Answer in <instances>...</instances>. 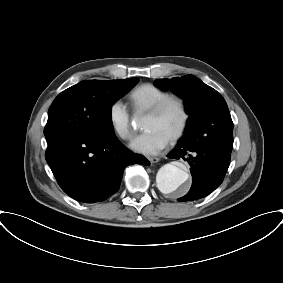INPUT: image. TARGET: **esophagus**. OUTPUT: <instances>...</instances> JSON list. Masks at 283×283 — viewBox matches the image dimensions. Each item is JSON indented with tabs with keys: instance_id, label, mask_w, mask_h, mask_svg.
I'll use <instances>...</instances> for the list:
<instances>
[{
	"instance_id": "esophagus-1",
	"label": "esophagus",
	"mask_w": 283,
	"mask_h": 283,
	"mask_svg": "<svg viewBox=\"0 0 283 283\" xmlns=\"http://www.w3.org/2000/svg\"><path fill=\"white\" fill-rule=\"evenodd\" d=\"M148 160L150 161L151 164H153V163H157L160 160V158H158V157H149Z\"/></svg>"
}]
</instances>
